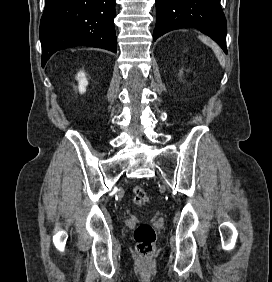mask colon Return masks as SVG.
Wrapping results in <instances>:
<instances>
[{"label": "colon", "instance_id": "obj_1", "mask_svg": "<svg viewBox=\"0 0 272 282\" xmlns=\"http://www.w3.org/2000/svg\"><path fill=\"white\" fill-rule=\"evenodd\" d=\"M133 199L138 205H144L148 201L147 193L140 186L133 188ZM133 237L136 249L143 260L151 259L155 249L156 234L154 229L146 223L139 224L134 230Z\"/></svg>", "mask_w": 272, "mask_h": 282}]
</instances>
